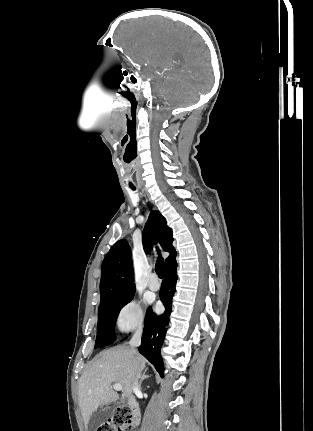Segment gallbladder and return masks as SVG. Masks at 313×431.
<instances>
[{"label": "gallbladder", "instance_id": "obj_1", "mask_svg": "<svg viewBox=\"0 0 313 431\" xmlns=\"http://www.w3.org/2000/svg\"><path fill=\"white\" fill-rule=\"evenodd\" d=\"M109 413H110V410H106V411H103V412L96 413L92 417V419H91V421L89 423V428L91 429L92 427H96V426L101 425L102 422H103V420L109 415Z\"/></svg>", "mask_w": 313, "mask_h": 431}]
</instances>
